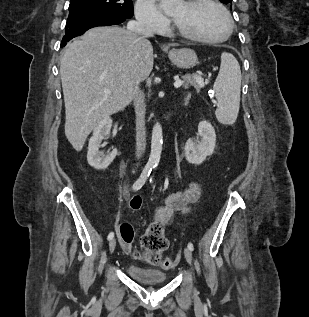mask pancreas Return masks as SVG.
Returning <instances> with one entry per match:
<instances>
[{"mask_svg": "<svg viewBox=\"0 0 309 317\" xmlns=\"http://www.w3.org/2000/svg\"><path fill=\"white\" fill-rule=\"evenodd\" d=\"M199 75L195 74H187L182 76L183 78V87L185 89L189 88L190 86H193L197 91H200V84L197 82L196 77ZM201 77V76H199Z\"/></svg>", "mask_w": 309, "mask_h": 317, "instance_id": "obj_1", "label": "pancreas"}]
</instances>
